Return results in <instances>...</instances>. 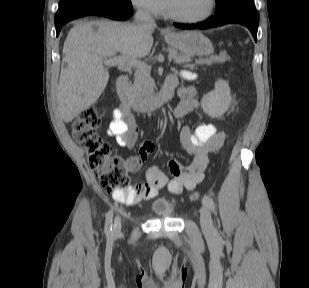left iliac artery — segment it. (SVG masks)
<instances>
[{
  "instance_id": "1",
  "label": "left iliac artery",
  "mask_w": 309,
  "mask_h": 288,
  "mask_svg": "<svg viewBox=\"0 0 309 288\" xmlns=\"http://www.w3.org/2000/svg\"><path fill=\"white\" fill-rule=\"evenodd\" d=\"M202 202L205 203L213 212H215V205L214 201L211 197L209 196H204L202 199Z\"/></svg>"
}]
</instances>
